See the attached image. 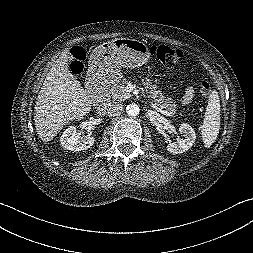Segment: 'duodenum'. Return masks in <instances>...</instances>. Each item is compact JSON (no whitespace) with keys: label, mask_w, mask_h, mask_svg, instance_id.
<instances>
[{"label":"duodenum","mask_w":253,"mask_h":253,"mask_svg":"<svg viewBox=\"0 0 253 253\" xmlns=\"http://www.w3.org/2000/svg\"><path fill=\"white\" fill-rule=\"evenodd\" d=\"M94 96L96 97L99 111L104 113L108 105V88L104 86H99L94 91Z\"/></svg>","instance_id":"obj_1"}]
</instances>
